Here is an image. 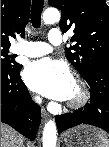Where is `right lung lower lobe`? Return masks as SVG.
<instances>
[{
  "label": "right lung lower lobe",
  "instance_id": "right-lung-lower-lobe-1",
  "mask_svg": "<svg viewBox=\"0 0 109 147\" xmlns=\"http://www.w3.org/2000/svg\"><path fill=\"white\" fill-rule=\"evenodd\" d=\"M22 66L1 67V122L34 140L41 122V110L20 78Z\"/></svg>",
  "mask_w": 109,
  "mask_h": 147
}]
</instances>
